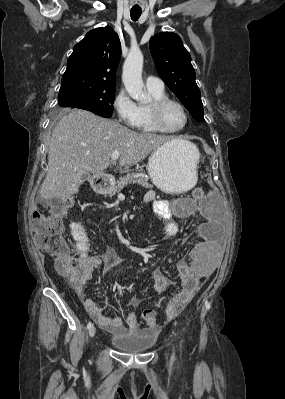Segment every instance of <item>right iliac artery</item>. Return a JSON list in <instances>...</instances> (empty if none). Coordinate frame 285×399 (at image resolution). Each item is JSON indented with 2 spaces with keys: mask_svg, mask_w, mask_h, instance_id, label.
<instances>
[{
  "mask_svg": "<svg viewBox=\"0 0 285 399\" xmlns=\"http://www.w3.org/2000/svg\"><path fill=\"white\" fill-rule=\"evenodd\" d=\"M91 326H92V323H91V321H89L87 324V328L90 329Z\"/></svg>",
  "mask_w": 285,
  "mask_h": 399,
  "instance_id": "1",
  "label": "right iliac artery"
}]
</instances>
